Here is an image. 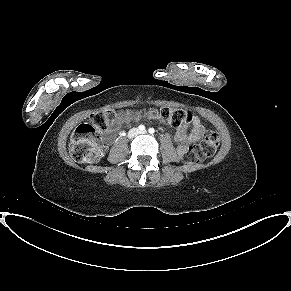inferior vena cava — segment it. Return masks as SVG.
<instances>
[{
    "label": "inferior vena cava",
    "instance_id": "1",
    "mask_svg": "<svg viewBox=\"0 0 291 291\" xmlns=\"http://www.w3.org/2000/svg\"><path fill=\"white\" fill-rule=\"evenodd\" d=\"M131 131L133 132V135L139 134V130L136 128L132 129Z\"/></svg>",
    "mask_w": 291,
    "mask_h": 291
}]
</instances>
